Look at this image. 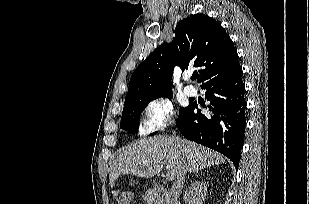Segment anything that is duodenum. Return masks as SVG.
I'll use <instances>...</instances> for the list:
<instances>
[{
    "instance_id": "duodenum-1",
    "label": "duodenum",
    "mask_w": 309,
    "mask_h": 204,
    "mask_svg": "<svg viewBox=\"0 0 309 204\" xmlns=\"http://www.w3.org/2000/svg\"><path fill=\"white\" fill-rule=\"evenodd\" d=\"M151 204H168L169 195L166 188L157 182H153L150 193Z\"/></svg>"
}]
</instances>
